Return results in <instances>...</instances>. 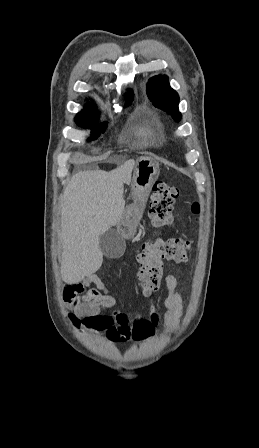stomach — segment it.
Listing matches in <instances>:
<instances>
[{
  "label": "stomach",
  "mask_w": 259,
  "mask_h": 448,
  "mask_svg": "<svg viewBox=\"0 0 259 448\" xmlns=\"http://www.w3.org/2000/svg\"><path fill=\"white\" fill-rule=\"evenodd\" d=\"M159 176V166L150 156H141L136 162V170L132 180V196L135 202L147 200L152 184ZM143 206H124L123 214L117 230L123 238H133L138 221L143 219Z\"/></svg>",
  "instance_id": "0dacf381"
}]
</instances>
